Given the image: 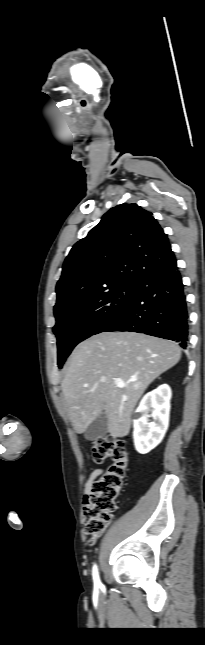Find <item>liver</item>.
Wrapping results in <instances>:
<instances>
[{
	"label": "liver",
	"instance_id": "1",
	"mask_svg": "<svg viewBox=\"0 0 205 645\" xmlns=\"http://www.w3.org/2000/svg\"><path fill=\"white\" fill-rule=\"evenodd\" d=\"M180 358L176 343L135 332H102L78 344L61 384L75 432L84 433L104 413L111 436L128 435L133 410L144 391ZM115 379L134 381L118 388Z\"/></svg>",
	"mask_w": 205,
	"mask_h": 645
}]
</instances>
